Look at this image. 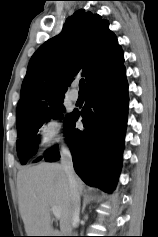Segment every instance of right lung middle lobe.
Segmentation results:
<instances>
[{"label":"right lung middle lobe","instance_id":"right-lung-middle-lobe-1","mask_svg":"<svg viewBox=\"0 0 158 237\" xmlns=\"http://www.w3.org/2000/svg\"><path fill=\"white\" fill-rule=\"evenodd\" d=\"M65 112L63 100L56 101L46 107L40 113L17 119V136L16 142L18 157L22 165L26 164L29 158L35 155L38 149L37 132L44 122L56 117L59 113ZM71 114L65 116V122Z\"/></svg>","mask_w":158,"mask_h":237}]
</instances>
